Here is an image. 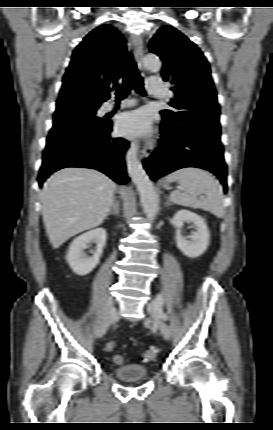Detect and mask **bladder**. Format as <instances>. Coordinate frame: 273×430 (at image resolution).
Returning a JSON list of instances; mask_svg holds the SVG:
<instances>
[{"label":"bladder","instance_id":"1","mask_svg":"<svg viewBox=\"0 0 273 430\" xmlns=\"http://www.w3.org/2000/svg\"><path fill=\"white\" fill-rule=\"evenodd\" d=\"M114 377L122 382H136L146 379L148 369L141 364H124L113 369Z\"/></svg>","mask_w":273,"mask_h":430}]
</instances>
